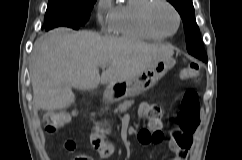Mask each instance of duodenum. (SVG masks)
<instances>
[{
  "mask_svg": "<svg viewBox=\"0 0 242 160\" xmlns=\"http://www.w3.org/2000/svg\"><path fill=\"white\" fill-rule=\"evenodd\" d=\"M114 95H115L114 90L109 88V89H107L104 92L103 97L104 98H110V97H112ZM92 117H95L94 113H92ZM93 129H94V134L95 135H100V136H104L105 135V129L102 127V125L99 122H96V121L94 122Z\"/></svg>",
  "mask_w": 242,
  "mask_h": 160,
  "instance_id": "obj_1",
  "label": "duodenum"
}]
</instances>
